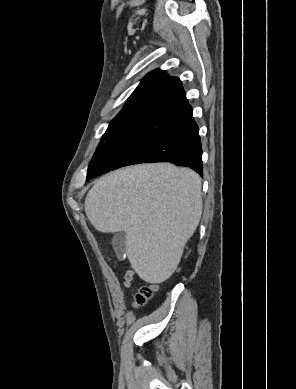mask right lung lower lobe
I'll use <instances>...</instances> for the list:
<instances>
[{"mask_svg": "<svg viewBox=\"0 0 296 389\" xmlns=\"http://www.w3.org/2000/svg\"><path fill=\"white\" fill-rule=\"evenodd\" d=\"M154 162H171L178 166H186L203 176L199 128L192 113L179 120L165 133L149 150L147 158L142 163ZM101 174L88 170L87 180Z\"/></svg>", "mask_w": 296, "mask_h": 389, "instance_id": "right-lung-lower-lobe-1", "label": "right lung lower lobe"}]
</instances>
